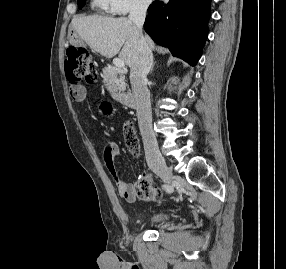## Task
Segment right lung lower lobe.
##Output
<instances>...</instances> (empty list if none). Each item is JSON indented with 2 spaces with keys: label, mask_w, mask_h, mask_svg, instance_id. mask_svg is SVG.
Listing matches in <instances>:
<instances>
[{
  "label": "right lung lower lobe",
  "mask_w": 286,
  "mask_h": 269,
  "mask_svg": "<svg viewBox=\"0 0 286 269\" xmlns=\"http://www.w3.org/2000/svg\"><path fill=\"white\" fill-rule=\"evenodd\" d=\"M211 0L154 1L148 8L145 31L159 45L191 65L201 57L211 15Z\"/></svg>",
  "instance_id": "1"
}]
</instances>
